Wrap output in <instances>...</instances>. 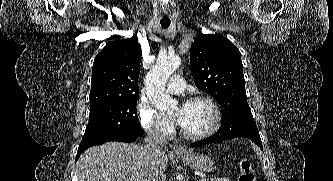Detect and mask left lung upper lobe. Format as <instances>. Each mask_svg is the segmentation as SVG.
I'll return each mask as SVG.
<instances>
[{
    "label": "left lung upper lobe",
    "mask_w": 333,
    "mask_h": 181,
    "mask_svg": "<svg viewBox=\"0 0 333 181\" xmlns=\"http://www.w3.org/2000/svg\"><path fill=\"white\" fill-rule=\"evenodd\" d=\"M190 64L195 85L219 103L222 121H232L227 127L230 134L261 141L247 103L239 49L223 36L199 31L191 46Z\"/></svg>",
    "instance_id": "left-lung-upper-lobe-1"
}]
</instances>
